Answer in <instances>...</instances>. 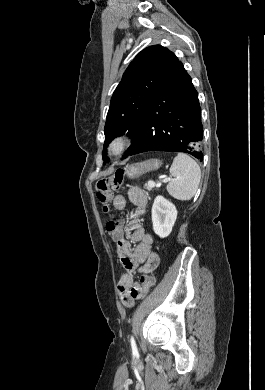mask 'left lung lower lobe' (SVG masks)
I'll use <instances>...</instances> for the list:
<instances>
[{"label":"left lung lower lobe","instance_id":"0a47b994","mask_svg":"<svg viewBox=\"0 0 265 390\" xmlns=\"http://www.w3.org/2000/svg\"><path fill=\"white\" fill-rule=\"evenodd\" d=\"M198 93L179 61L149 104L138 139L128 155L183 152L203 160Z\"/></svg>","mask_w":265,"mask_h":390}]
</instances>
